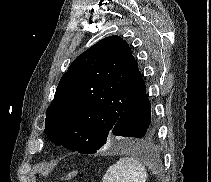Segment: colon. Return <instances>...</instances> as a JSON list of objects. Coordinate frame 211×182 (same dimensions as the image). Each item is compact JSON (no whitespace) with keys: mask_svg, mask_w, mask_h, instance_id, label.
<instances>
[{"mask_svg":"<svg viewBox=\"0 0 211 182\" xmlns=\"http://www.w3.org/2000/svg\"><path fill=\"white\" fill-rule=\"evenodd\" d=\"M75 174H76L75 171H70L65 175V177L68 178V179L73 178L75 176Z\"/></svg>","mask_w":211,"mask_h":182,"instance_id":"obj_1","label":"colon"}]
</instances>
